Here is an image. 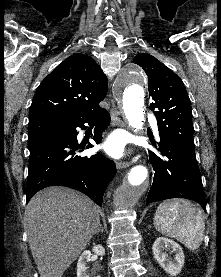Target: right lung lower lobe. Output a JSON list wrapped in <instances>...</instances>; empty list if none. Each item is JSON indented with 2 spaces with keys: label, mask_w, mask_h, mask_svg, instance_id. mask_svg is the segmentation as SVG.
Masks as SVG:
<instances>
[{
  "label": "right lung lower lobe",
  "mask_w": 221,
  "mask_h": 277,
  "mask_svg": "<svg viewBox=\"0 0 221 277\" xmlns=\"http://www.w3.org/2000/svg\"><path fill=\"white\" fill-rule=\"evenodd\" d=\"M55 134L30 149L27 202L39 190L49 186L76 189L102 206L104 192L116 174L114 162L102 154L81 156L84 145L77 142V127L96 124L93 139L99 144L101 133L109 125L110 115L101 108L79 118L55 120ZM93 147L87 145V149Z\"/></svg>",
  "instance_id": "98d812e1"
}]
</instances>
